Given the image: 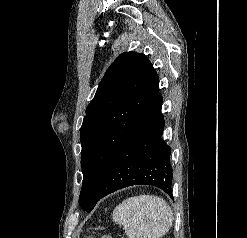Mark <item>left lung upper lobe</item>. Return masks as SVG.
<instances>
[{
	"label": "left lung upper lobe",
	"mask_w": 247,
	"mask_h": 238,
	"mask_svg": "<svg viewBox=\"0 0 247 238\" xmlns=\"http://www.w3.org/2000/svg\"><path fill=\"white\" fill-rule=\"evenodd\" d=\"M159 80L144 54L125 52L106 71L80 130L83 184L80 206L90 212L115 155L149 111Z\"/></svg>",
	"instance_id": "left-lung-upper-lobe-1"
}]
</instances>
